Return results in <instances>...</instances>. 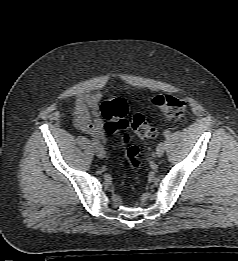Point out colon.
<instances>
[{
	"label": "colon",
	"instance_id": "colon-1",
	"mask_svg": "<svg viewBox=\"0 0 238 261\" xmlns=\"http://www.w3.org/2000/svg\"><path fill=\"white\" fill-rule=\"evenodd\" d=\"M152 103L166 117L173 120L180 119L186 110V102L173 95H157L152 99ZM101 111L106 119L104 124L105 132L110 135L123 133L120 146L124 151V156L132 170H140L142 163L139 158V148L132 143L130 134L125 131L128 125H130L135 134L140 138L150 139L156 136L157 130L152 127L140 113L135 114L130 123H128L126 120L128 111L127 103L121 97L113 96L104 101L101 106Z\"/></svg>",
	"mask_w": 238,
	"mask_h": 261
}]
</instances>
